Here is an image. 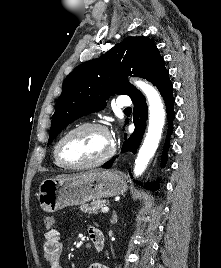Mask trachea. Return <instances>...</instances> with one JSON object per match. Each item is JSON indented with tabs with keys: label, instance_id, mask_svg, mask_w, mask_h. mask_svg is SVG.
Wrapping results in <instances>:
<instances>
[{
	"label": "trachea",
	"instance_id": "1",
	"mask_svg": "<svg viewBox=\"0 0 221 268\" xmlns=\"http://www.w3.org/2000/svg\"><path fill=\"white\" fill-rule=\"evenodd\" d=\"M125 111H131V108L130 107L129 108H126Z\"/></svg>",
	"mask_w": 221,
	"mask_h": 268
}]
</instances>
